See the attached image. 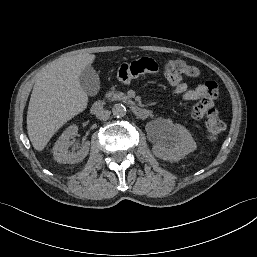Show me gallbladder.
I'll return each instance as SVG.
<instances>
[{"label": "gallbladder", "instance_id": "obj_1", "mask_svg": "<svg viewBox=\"0 0 257 257\" xmlns=\"http://www.w3.org/2000/svg\"><path fill=\"white\" fill-rule=\"evenodd\" d=\"M81 88L89 96H95L100 89L99 76L92 66H87L82 70L79 77Z\"/></svg>", "mask_w": 257, "mask_h": 257}]
</instances>
